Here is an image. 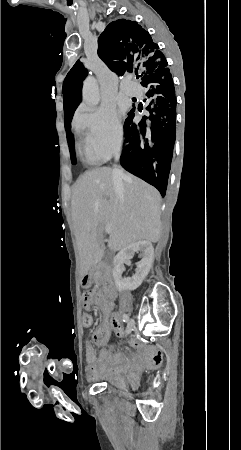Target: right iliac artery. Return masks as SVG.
<instances>
[{
  "label": "right iliac artery",
  "instance_id": "1",
  "mask_svg": "<svg viewBox=\"0 0 241 450\" xmlns=\"http://www.w3.org/2000/svg\"><path fill=\"white\" fill-rule=\"evenodd\" d=\"M128 320H129V317L127 315H123V321L128 322Z\"/></svg>",
  "mask_w": 241,
  "mask_h": 450
}]
</instances>
